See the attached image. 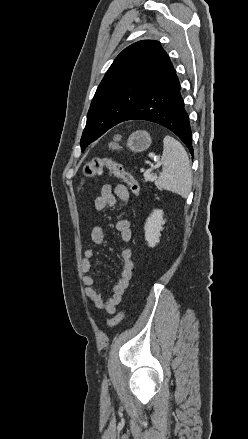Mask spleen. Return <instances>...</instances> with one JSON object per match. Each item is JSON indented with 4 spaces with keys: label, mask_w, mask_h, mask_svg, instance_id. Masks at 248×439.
Here are the masks:
<instances>
[{
    "label": "spleen",
    "mask_w": 248,
    "mask_h": 439,
    "mask_svg": "<svg viewBox=\"0 0 248 439\" xmlns=\"http://www.w3.org/2000/svg\"><path fill=\"white\" fill-rule=\"evenodd\" d=\"M163 170L157 179V188L186 198L192 187L190 161L185 148L170 136L163 139Z\"/></svg>",
    "instance_id": "3e777b00"
}]
</instances>
